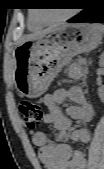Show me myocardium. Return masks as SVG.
Here are the masks:
<instances>
[{
    "label": "myocardium",
    "mask_w": 104,
    "mask_h": 169,
    "mask_svg": "<svg viewBox=\"0 0 104 169\" xmlns=\"http://www.w3.org/2000/svg\"><path fill=\"white\" fill-rule=\"evenodd\" d=\"M72 15H73V13L70 11L67 14L63 15L62 17H60V18H58L56 20H52V21L44 20L40 16H35V17L42 24H56V23H60V22L68 20L69 18L72 17Z\"/></svg>",
    "instance_id": "f54148a6"
}]
</instances>
